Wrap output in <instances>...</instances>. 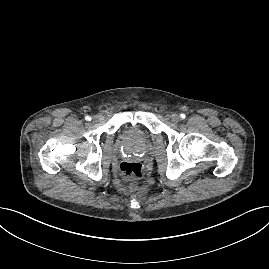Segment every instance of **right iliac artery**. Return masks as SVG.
I'll use <instances>...</instances> for the list:
<instances>
[{
	"instance_id": "1",
	"label": "right iliac artery",
	"mask_w": 269,
	"mask_h": 269,
	"mask_svg": "<svg viewBox=\"0 0 269 269\" xmlns=\"http://www.w3.org/2000/svg\"><path fill=\"white\" fill-rule=\"evenodd\" d=\"M85 120H86V121H90V120H91V117H90V116H86V117H85Z\"/></svg>"
}]
</instances>
